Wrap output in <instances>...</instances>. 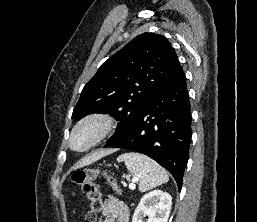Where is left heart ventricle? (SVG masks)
Wrapping results in <instances>:
<instances>
[{"mask_svg":"<svg viewBox=\"0 0 257 222\" xmlns=\"http://www.w3.org/2000/svg\"><path fill=\"white\" fill-rule=\"evenodd\" d=\"M98 127L96 125H85L78 129L73 137V146L82 149L89 145L96 137Z\"/></svg>","mask_w":257,"mask_h":222,"instance_id":"1","label":"left heart ventricle"}]
</instances>
